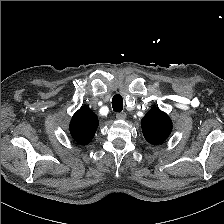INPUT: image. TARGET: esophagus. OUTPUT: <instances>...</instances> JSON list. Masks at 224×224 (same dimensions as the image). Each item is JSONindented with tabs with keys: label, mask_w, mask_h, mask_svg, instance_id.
<instances>
[{
	"label": "esophagus",
	"mask_w": 224,
	"mask_h": 224,
	"mask_svg": "<svg viewBox=\"0 0 224 224\" xmlns=\"http://www.w3.org/2000/svg\"><path fill=\"white\" fill-rule=\"evenodd\" d=\"M126 117H127V114H126L125 112H121V113H117V114H116V118H117L118 120H125Z\"/></svg>",
	"instance_id": "1"
}]
</instances>
